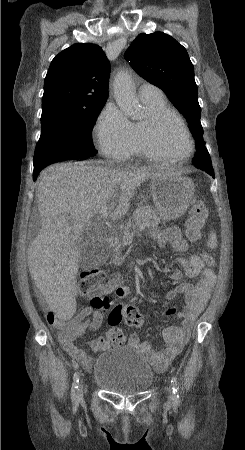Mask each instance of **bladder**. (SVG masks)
I'll list each match as a JSON object with an SVG mask.
<instances>
[{
    "mask_svg": "<svg viewBox=\"0 0 245 450\" xmlns=\"http://www.w3.org/2000/svg\"><path fill=\"white\" fill-rule=\"evenodd\" d=\"M92 380L109 392L131 395L148 390L154 374L139 351L117 347L95 361Z\"/></svg>",
    "mask_w": 245,
    "mask_h": 450,
    "instance_id": "1",
    "label": "bladder"
}]
</instances>
